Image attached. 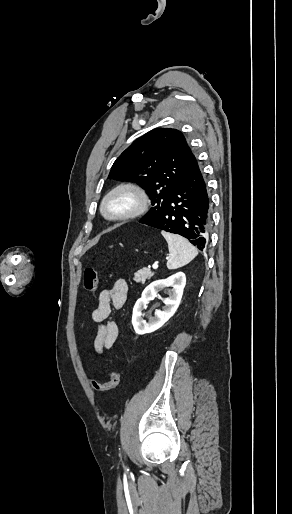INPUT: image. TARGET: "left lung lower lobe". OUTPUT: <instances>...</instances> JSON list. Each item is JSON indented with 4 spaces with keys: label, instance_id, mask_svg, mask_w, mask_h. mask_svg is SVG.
Masks as SVG:
<instances>
[{
    "label": "left lung lower lobe",
    "instance_id": "obj_1",
    "mask_svg": "<svg viewBox=\"0 0 292 514\" xmlns=\"http://www.w3.org/2000/svg\"><path fill=\"white\" fill-rule=\"evenodd\" d=\"M139 222L179 234L199 250L205 248L210 227V199L194 154L180 184L161 202L158 215L150 221L141 219Z\"/></svg>",
    "mask_w": 292,
    "mask_h": 514
}]
</instances>
